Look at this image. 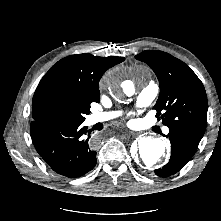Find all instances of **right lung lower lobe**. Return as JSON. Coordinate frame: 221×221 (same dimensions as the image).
<instances>
[{"instance_id": "right-lung-lower-lobe-1", "label": "right lung lower lobe", "mask_w": 221, "mask_h": 221, "mask_svg": "<svg viewBox=\"0 0 221 221\" xmlns=\"http://www.w3.org/2000/svg\"><path fill=\"white\" fill-rule=\"evenodd\" d=\"M75 120L32 121L33 144L43 160L60 175L75 178L92 170L96 152L91 130Z\"/></svg>"}]
</instances>
